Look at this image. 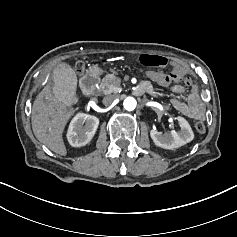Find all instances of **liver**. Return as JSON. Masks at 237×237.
<instances>
[{
  "mask_svg": "<svg viewBox=\"0 0 237 237\" xmlns=\"http://www.w3.org/2000/svg\"><path fill=\"white\" fill-rule=\"evenodd\" d=\"M32 110L34 113L31 117V124L35 138L52 152L66 156L67 150L63 141V133L78 108L68 109L50 92L43 91L36 97Z\"/></svg>",
  "mask_w": 237,
  "mask_h": 237,
  "instance_id": "liver-1",
  "label": "liver"
}]
</instances>
